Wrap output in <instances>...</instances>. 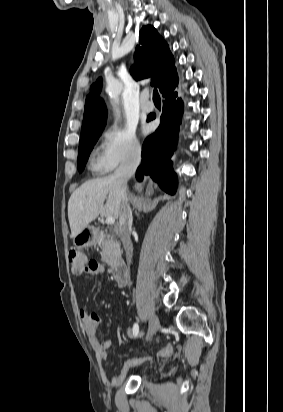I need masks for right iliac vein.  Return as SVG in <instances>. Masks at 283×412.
Instances as JSON below:
<instances>
[{
    "mask_svg": "<svg viewBox=\"0 0 283 412\" xmlns=\"http://www.w3.org/2000/svg\"><path fill=\"white\" fill-rule=\"evenodd\" d=\"M158 329H159L158 317L155 314H151L149 318V330L145 338L146 341H150Z\"/></svg>",
    "mask_w": 283,
    "mask_h": 412,
    "instance_id": "1",
    "label": "right iliac vein"
}]
</instances>
